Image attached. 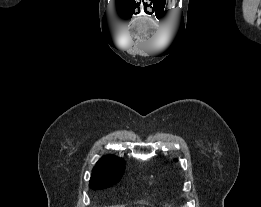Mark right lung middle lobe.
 Segmentation results:
<instances>
[{"mask_svg":"<svg viewBox=\"0 0 261 207\" xmlns=\"http://www.w3.org/2000/svg\"><path fill=\"white\" fill-rule=\"evenodd\" d=\"M124 164L125 162H121L113 167L93 168L89 186L94 190H98L116 184L124 173Z\"/></svg>","mask_w":261,"mask_h":207,"instance_id":"1","label":"right lung middle lobe"}]
</instances>
